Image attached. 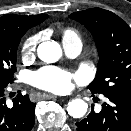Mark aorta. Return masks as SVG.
<instances>
[{"instance_id": "1", "label": "aorta", "mask_w": 131, "mask_h": 131, "mask_svg": "<svg viewBox=\"0 0 131 131\" xmlns=\"http://www.w3.org/2000/svg\"><path fill=\"white\" fill-rule=\"evenodd\" d=\"M38 57L46 62L53 63L59 60L62 55L60 45L55 41L41 43L37 49ZM88 109V104L82 99H73L67 105V112L73 118L83 117Z\"/></svg>"}]
</instances>
